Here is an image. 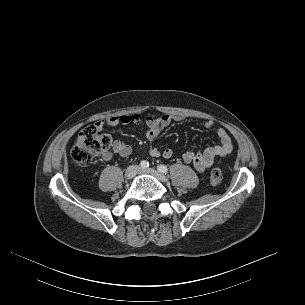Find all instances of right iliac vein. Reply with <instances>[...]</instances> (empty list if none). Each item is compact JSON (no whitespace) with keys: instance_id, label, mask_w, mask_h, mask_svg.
I'll list each match as a JSON object with an SVG mask.
<instances>
[{"instance_id":"right-iliac-vein-1","label":"right iliac vein","mask_w":305,"mask_h":305,"mask_svg":"<svg viewBox=\"0 0 305 305\" xmlns=\"http://www.w3.org/2000/svg\"><path fill=\"white\" fill-rule=\"evenodd\" d=\"M138 171H139L138 166L136 165L129 166L125 171V178L129 180L132 179L137 174Z\"/></svg>"}]
</instances>
